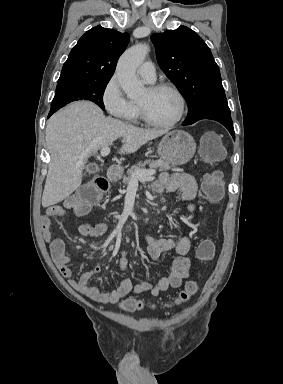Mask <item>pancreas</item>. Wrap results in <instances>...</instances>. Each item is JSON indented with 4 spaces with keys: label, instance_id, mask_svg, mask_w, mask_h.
<instances>
[{
    "label": "pancreas",
    "instance_id": "cf45deb5",
    "mask_svg": "<svg viewBox=\"0 0 283 384\" xmlns=\"http://www.w3.org/2000/svg\"><path fill=\"white\" fill-rule=\"evenodd\" d=\"M149 164V168H159V172H166V170H171L173 166H170L169 162H163V160H145V162H138L136 166H132L130 170H127V176H123V184H129L131 180H133V176H135L136 172L139 170H145V166ZM120 172H123L124 168H120L117 166ZM114 182V180H112Z\"/></svg>",
    "mask_w": 283,
    "mask_h": 384
}]
</instances>
